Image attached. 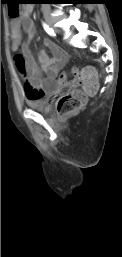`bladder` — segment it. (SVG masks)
<instances>
[{"mask_svg":"<svg viewBox=\"0 0 122 257\" xmlns=\"http://www.w3.org/2000/svg\"><path fill=\"white\" fill-rule=\"evenodd\" d=\"M27 104L34 110L42 113H46L50 110L49 98H42L36 100H27Z\"/></svg>","mask_w":122,"mask_h":257,"instance_id":"31cf9c89","label":"bladder"}]
</instances>
